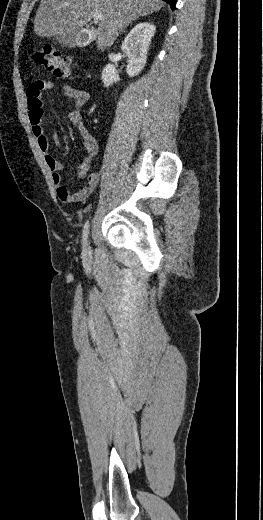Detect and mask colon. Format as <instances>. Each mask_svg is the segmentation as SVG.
<instances>
[{"mask_svg": "<svg viewBox=\"0 0 263 520\" xmlns=\"http://www.w3.org/2000/svg\"><path fill=\"white\" fill-rule=\"evenodd\" d=\"M32 59L37 65L59 78H69L72 75L71 59L50 46H44L33 52Z\"/></svg>", "mask_w": 263, "mask_h": 520, "instance_id": "1", "label": "colon"}]
</instances>
